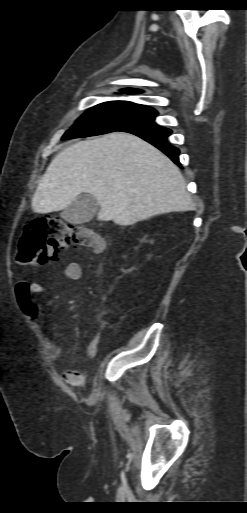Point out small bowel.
Here are the masks:
<instances>
[{"instance_id":"obj_1","label":"small bowel","mask_w":247,"mask_h":513,"mask_svg":"<svg viewBox=\"0 0 247 513\" xmlns=\"http://www.w3.org/2000/svg\"><path fill=\"white\" fill-rule=\"evenodd\" d=\"M82 274L81 265L78 262H69L65 265L63 275L69 280H78ZM42 291L41 285H31L25 281H20L16 287V298L21 311L25 316L33 321L39 322L41 319V311L38 305L33 301V295ZM48 357L50 361H56L61 358L64 353V346L61 342L57 331L54 327H48L47 337ZM95 354L92 345L86 348V356L92 357ZM64 378L67 384L80 387L82 384V376L76 370H68L64 372Z\"/></svg>"}]
</instances>
